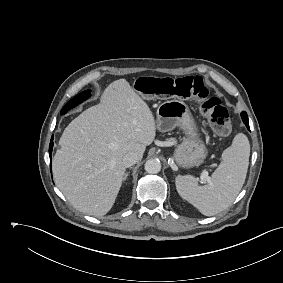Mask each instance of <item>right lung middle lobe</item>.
<instances>
[{
  "mask_svg": "<svg viewBox=\"0 0 283 283\" xmlns=\"http://www.w3.org/2000/svg\"><path fill=\"white\" fill-rule=\"evenodd\" d=\"M90 97V90H86L77 96H75L73 99H71L62 109L61 114H65L67 111H69L71 108L77 106L84 100L88 99Z\"/></svg>",
  "mask_w": 283,
  "mask_h": 283,
  "instance_id": "dd1d6c3e",
  "label": "right lung middle lobe"
}]
</instances>
